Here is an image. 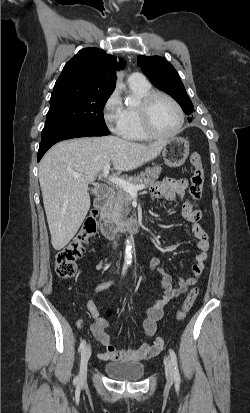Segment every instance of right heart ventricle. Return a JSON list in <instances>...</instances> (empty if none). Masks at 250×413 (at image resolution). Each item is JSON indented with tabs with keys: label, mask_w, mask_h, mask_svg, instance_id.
<instances>
[{
	"label": "right heart ventricle",
	"mask_w": 250,
	"mask_h": 413,
	"mask_svg": "<svg viewBox=\"0 0 250 413\" xmlns=\"http://www.w3.org/2000/svg\"><path fill=\"white\" fill-rule=\"evenodd\" d=\"M130 89L138 99H142L151 91V86L147 83L145 85L137 86L130 85ZM122 136L128 140L143 141L149 139L142 128L141 118L137 106H127L125 108V124Z\"/></svg>",
	"instance_id": "right-heart-ventricle-1"
}]
</instances>
